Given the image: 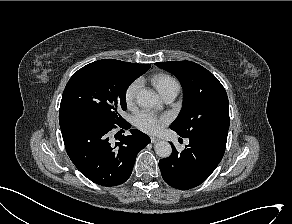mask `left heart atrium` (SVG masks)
Segmentation results:
<instances>
[{
  "label": "left heart atrium",
  "instance_id": "left-heart-atrium-1",
  "mask_svg": "<svg viewBox=\"0 0 292 224\" xmlns=\"http://www.w3.org/2000/svg\"><path fill=\"white\" fill-rule=\"evenodd\" d=\"M135 125L147 133H157L167 123L165 117H158L150 111H141L134 118Z\"/></svg>",
  "mask_w": 292,
  "mask_h": 224
}]
</instances>
